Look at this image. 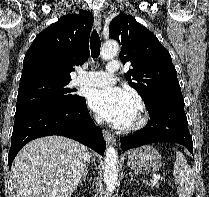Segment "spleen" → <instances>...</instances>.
<instances>
[{"label":"spleen","mask_w":209,"mask_h":197,"mask_svg":"<svg viewBox=\"0 0 209 197\" xmlns=\"http://www.w3.org/2000/svg\"><path fill=\"white\" fill-rule=\"evenodd\" d=\"M173 175L178 185L177 194L179 197H191L195 189L194 173L183 153L177 150Z\"/></svg>","instance_id":"obj_1"}]
</instances>
